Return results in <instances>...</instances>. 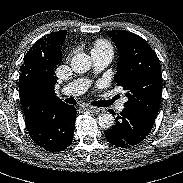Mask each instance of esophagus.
Returning a JSON list of instances; mask_svg holds the SVG:
<instances>
[{"mask_svg":"<svg viewBox=\"0 0 183 183\" xmlns=\"http://www.w3.org/2000/svg\"><path fill=\"white\" fill-rule=\"evenodd\" d=\"M84 108L90 110L93 113H99L101 111L100 108L95 107V106H91V105H88V104L85 105Z\"/></svg>","mask_w":183,"mask_h":183,"instance_id":"esophagus-1","label":"esophagus"}]
</instances>
